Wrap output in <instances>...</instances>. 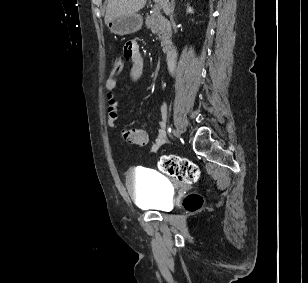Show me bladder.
<instances>
[{
    "mask_svg": "<svg viewBox=\"0 0 308 283\" xmlns=\"http://www.w3.org/2000/svg\"><path fill=\"white\" fill-rule=\"evenodd\" d=\"M126 189L132 200L146 209L164 210L168 203L170 188L165 179L148 168H135L128 172Z\"/></svg>",
    "mask_w": 308,
    "mask_h": 283,
    "instance_id": "31cf9c89",
    "label": "bladder"
}]
</instances>
